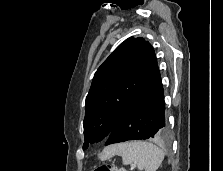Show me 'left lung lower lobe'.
<instances>
[{
    "label": "left lung lower lobe",
    "mask_w": 223,
    "mask_h": 171,
    "mask_svg": "<svg viewBox=\"0 0 223 171\" xmlns=\"http://www.w3.org/2000/svg\"><path fill=\"white\" fill-rule=\"evenodd\" d=\"M166 124L163 85L157 63L147 81L115 125L105 145L129 140H164Z\"/></svg>",
    "instance_id": "0a47b994"
}]
</instances>
